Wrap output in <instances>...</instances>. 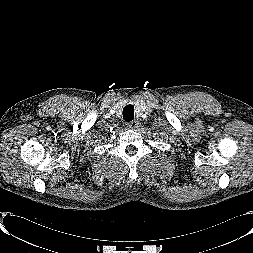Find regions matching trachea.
I'll use <instances>...</instances> for the list:
<instances>
[{"instance_id": "trachea-1", "label": "trachea", "mask_w": 253, "mask_h": 253, "mask_svg": "<svg viewBox=\"0 0 253 253\" xmlns=\"http://www.w3.org/2000/svg\"><path fill=\"white\" fill-rule=\"evenodd\" d=\"M123 119L127 122L134 119V106L127 105L123 108Z\"/></svg>"}]
</instances>
